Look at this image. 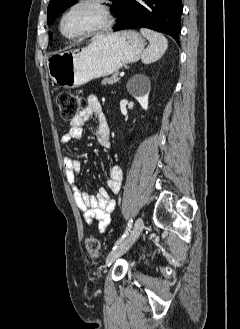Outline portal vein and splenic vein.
Listing matches in <instances>:
<instances>
[{
	"label": "portal vein and splenic vein",
	"instance_id": "18ae733b",
	"mask_svg": "<svg viewBox=\"0 0 240 329\" xmlns=\"http://www.w3.org/2000/svg\"><path fill=\"white\" fill-rule=\"evenodd\" d=\"M124 75H125L124 72H121V73L119 74L120 77H123Z\"/></svg>",
	"mask_w": 240,
	"mask_h": 329
}]
</instances>
